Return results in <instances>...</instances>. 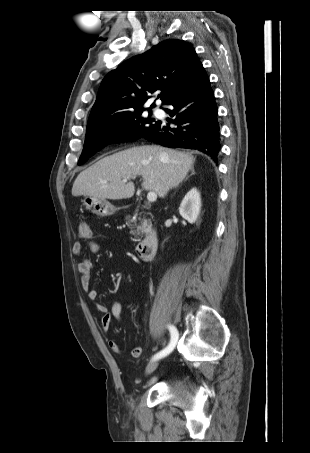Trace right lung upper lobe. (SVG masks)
Returning <instances> with one entry per match:
<instances>
[{
  "mask_svg": "<svg viewBox=\"0 0 310 453\" xmlns=\"http://www.w3.org/2000/svg\"><path fill=\"white\" fill-rule=\"evenodd\" d=\"M202 67L194 48L169 39L148 52L126 60L103 79L87 128L135 111L144 110L149 94L160 90L166 104ZM155 104H151L150 108Z\"/></svg>",
  "mask_w": 310,
  "mask_h": 453,
  "instance_id": "cb5924a9",
  "label": "right lung upper lobe"
}]
</instances>
